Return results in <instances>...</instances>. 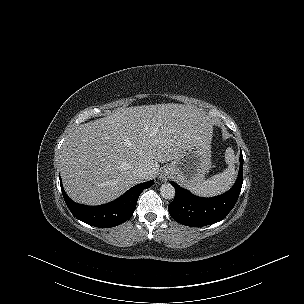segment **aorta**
Returning <instances> with one entry per match:
<instances>
[{"label": "aorta", "mask_w": 304, "mask_h": 304, "mask_svg": "<svg viewBox=\"0 0 304 304\" xmlns=\"http://www.w3.org/2000/svg\"><path fill=\"white\" fill-rule=\"evenodd\" d=\"M160 194L164 199L172 200L175 197L176 191L170 183H165L160 187Z\"/></svg>", "instance_id": "762f6f07"}]
</instances>
